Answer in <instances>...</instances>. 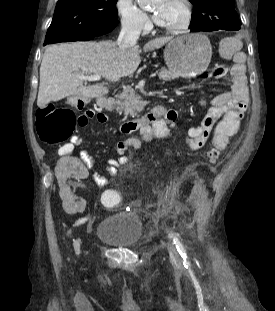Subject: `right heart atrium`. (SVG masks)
<instances>
[{
    "label": "right heart atrium",
    "mask_w": 275,
    "mask_h": 311,
    "mask_svg": "<svg viewBox=\"0 0 275 311\" xmlns=\"http://www.w3.org/2000/svg\"><path fill=\"white\" fill-rule=\"evenodd\" d=\"M115 10L125 30L141 34L150 29L151 23L148 15L134 0H116Z\"/></svg>",
    "instance_id": "obj_1"
}]
</instances>
